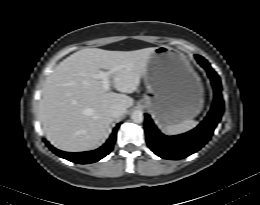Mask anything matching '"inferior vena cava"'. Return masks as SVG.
I'll return each instance as SVG.
<instances>
[{
    "instance_id": "obj_1",
    "label": "inferior vena cava",
    "mask_w": 260,
    "mask_h": 205,
    "mask_svg": "<svg viewBox=\"0 0 260 205\" xmlns=\"http://www.w3.org/2000/svg\"><path fill=\"white\" fill-rule=\"evenodd\" d=\"M125 108L121 105H115L109 110V115L116 119L122 116L125 113Z\"/></svg>"
}]
</instances>
